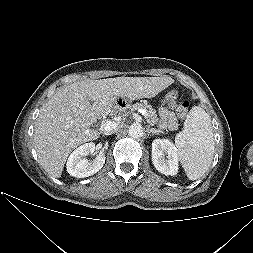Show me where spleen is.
Returning a JSON list of instances; mask_svg holds the SVG:
<instances>
[{"label":"spleen","mask_w":253,"mask_h":253,"mask_svg":"<svg viewBox=\"0 0 253 253\" xmlns=\"http://www.w3.org/2000/svg\"><path fill=\"white\" fill-rule=\"evenodd\" d=\"M211 118L201 107H193L176 135L179 160L190 180H197L208 170L214 154Z\"/></svg>","instance_id":"obj_1"}]
</instances>
